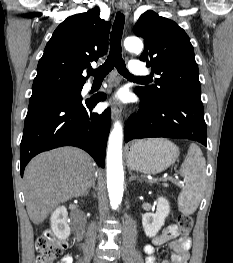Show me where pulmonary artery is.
<instances>
[{
	"label": "pulmonary artery",
	"mask_w": 233,
	"mask_h": 263,
	"mask_svg": "<svg viewBox=\"0 0 233 263\" xmlns=\"http://www.w3.org/2000/svg\"><path fill=\"white\" fill-rule=\"evenodd\" d=\"M129 72L133 75H146V74H148L147 68L139 60H131L130 61Z\"/></svg>",
	"instance_id": "pulmonary-artery-1"
}]
</instances>
